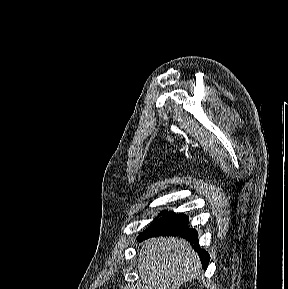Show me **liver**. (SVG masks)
Instances as JSON below:
<instances>
[{
  "mask_svg": "<svg viewBox=\"0 0 288 289\" xmlns=\"http://www.w3.org/2000/svg\"><path fill=\"white\" fill-rule=\"evenodd\" d=\"M200 270L198 254L183 238H151L139 252L138 271L145 289H176Z\"/></svg>",
  "mask_w": 288,
  "mask_h": 289,
  "instance_id": "obj_1",
  "label": "liver"
}]
</instances>
